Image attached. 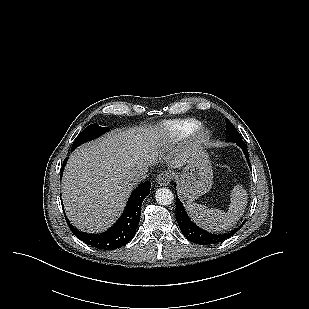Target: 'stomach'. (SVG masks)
I'll list each match as a JSON object with an SVG mask.
<instances>
[{
    "label": "stomach",
    "instance_id": "obj_1",
    "mask_svg": "<svg viewBox=\"0 0 309 309\" xmlns=\"http://www.w3.org/2000/svg\"><path fill=\"white\" fill-rule=\"evenodd\" d=\"M176 177L178 193L187 201H193L211 189L213 184L211 161L201 145L193 146L185 167Z\"/></svg>",
    "mask_w": 309,
    "mask_h": 309
}]
</instances>
